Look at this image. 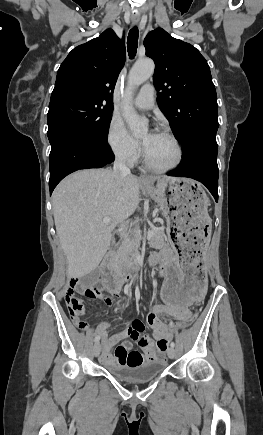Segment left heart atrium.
<instances>
[{
  "label": "left heart atrium",
  "mask_w": 263,
  "mask_h": 435,
  "mask_svg": "<svg viewBox=\"0 0 263 435\" xmlns=\"http://www.w3.org/2000/svg\"><path fill=\"white\" fill-rule=\"evenodd\" d=\"M155 134L156 133L154 132L149 133L147 140L144 142L145 146L151 141V139L155 136Z\"/></svg>",
  "instance_id": "left-heart-atrium-1"
}]
</instances>
